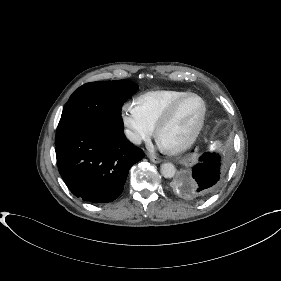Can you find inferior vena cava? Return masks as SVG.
I'll use <instances>...</instances> for the list:
<instances>
[{
	"instance_id": "602c4592",
	"label": "inferior vena cava",
	"mask_w": 281,
	"mask_h": 281,
	"mask_svg": "<svg viewBox=\"0 0 281 281\" xmlns=\"http://www.w3.org/2000/svg\"><path fill=\"white\" fill-rule=\"evenodd\" d=\"M125 134H126L127 138L132 143H134V144H141V137L138 134H136V133H134V132H132L130 130H125Z\"/></svg>"
}]
</instances>
